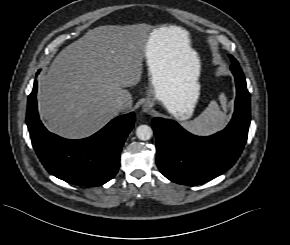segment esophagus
Segmentation results:
<instances>
[{"mask_svg": "<svg viewBox=\"0 0 290 245\" xmlns=\"http://www.w3.org/2000/svg\"><path fill=\"white\" fill-rule=\"evenodd\" d=\"M151 105L148 103V102H146L144 105H143V107H142V110H143V112H145V113H149L150 111H151Z\"/></svg>", "mask_w": 290, "mask_h": 245, "instance_id": "1", "label": "esophagus"}]
</instances>
